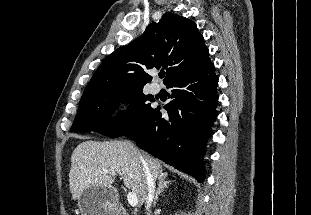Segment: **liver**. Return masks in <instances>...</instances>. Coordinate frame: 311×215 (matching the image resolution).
I'll return each mask as SVG.
<instances>
[{
  "mask_svg": "<svg viewBox=\"0 0 311 215\" xmlns=\"http://www.w3.org/2000/svg\"><path fill=\"white\" fill-rule=\"evenodd\" d=\"M139 156L145 160L155 180H160L166 174L159 160L141 153L130 142L83 141L71 155L69 186L72 199L78 200L84 190L91 186L113 188V175L103 172L108 170L121 176L124 186L136 194L139 204L142 205L147 197V183ZM114 190L118 197L117 190Z\"/></svg>",
  "mask_w": 311,
  "mask_h": 215,
  "instance_id": "obj_1",
  "label": "liver"
}]
</instances>
